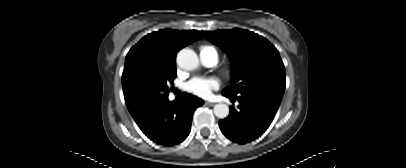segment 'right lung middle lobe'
Instances as JSON below:
<instances>
[{"instance_id": "right-lung-middle-lobe-1", "label": "right lung middle lobe", "mask_w": 406, "mask_h": 168, "mask_svg": "<svg viewBox=\"0 0 406 168\" xmlns=\"http://www.w3.org/2000/svg\"><path fill=\"white\" fill-rule=\"evenodd\" d=\"M175 77L176 67L133 64L122 75L125 102L130 113L167 98L168 85L173 83Z\"/></svg>"}]
</instances>
